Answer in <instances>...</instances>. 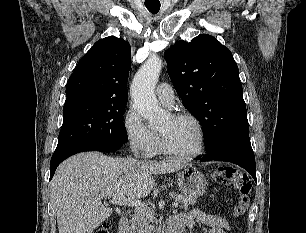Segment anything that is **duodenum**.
Listing matches in <instances>:
<instances>
[{
	"instance_id": "obj_1",
	"label": "duodenum",
	"mask_w": 306,
	"mask_h": 233,
	"mask_svg": "<svg viewBox=\"0 0 306 233\" xmlns=\"http://www.w3.org/2000/svg\"><path fill=\"white\" fill-rule=\"evenodd\" d=\"M118 233H131L129 220L126 217H121L118 222ZM169 233H181L179 226L170 225Z\"/></svg>"
}]
</instances>
